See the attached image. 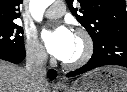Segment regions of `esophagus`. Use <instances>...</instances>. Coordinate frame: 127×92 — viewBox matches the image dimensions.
Wrapping results in <instances>:
<instances>
[{
	"mask_svg": "<svg viewBox=\"0 0 127 92\" xmlns=\"http://www.w3.org/2000/svg\"><path fill=\"white\" fill-rule=\"evenodd\" d=\"M58 85H59V86H61V85H62V83H61V82H59V83H58Z\"/></svg>",
	"mask_w": 127,
	"mask_h": 92,
	"instance_id": "1",
	"label": "esophagus"
}]
</instances>
